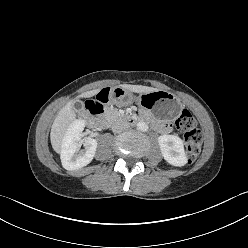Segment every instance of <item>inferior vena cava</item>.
I'll return each instance as SVG.
<instances>
[{
    "mask_svg": "<svg viewBox=\"0 0 248 248\" xmlns=\"http://www.w3.org/2000/svg\"><path fill=\"white\" fill-rule=\"evenodd\" d=\"M127 128H128V125L123 122H116L112 125L113 133H120Z\"/></svg>",
    "mask_w": 248,
    "mask_h": 248,
    "instance_id": "602c4592",
    "label": "inferior vena cava"
}]
</instances>
